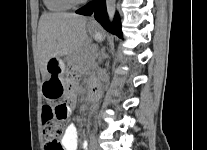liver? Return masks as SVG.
<instances>
[{
	"mask_svg": "<svg viewBox=\"0 0 207 150\" xmlns=\"http://www.w3.org/2000/svg\"><path fill=\"white\" fill-rule=\"evenodd\" d=\"M87 18L70 13H44L38 24V52L42 77L53 57L69 56L82 49L87 39Z\"/></svg>",
	"mask_w": 207,
	"mask_h": 150,
	"instance_id": "6515ba94",
	"label": "liver"
}]
</instances>
